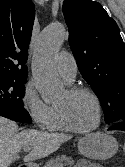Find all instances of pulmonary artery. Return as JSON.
Returning a JSON list of instances; mask_svg holds the SVG:
<instances>
[{
    "instance_id": "pulmonary-artery-1",
    "label": "pulmonary artery",
    "mask_w": 125,
    "mask_h": 167,
    "mask_svg": "<svg viewBox=\"0 0 125 167\" xmlns=\"http://www.w3.org/2000/svg\"><path fill=\"white\" fill-rule=\"evenodd\" d=\"M56 67L66 82L71 83L75 79L77 64L71 53L66 51L59 53L56 58Z\"/></svg>"
}]
</instances>
